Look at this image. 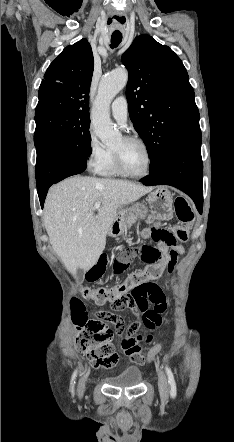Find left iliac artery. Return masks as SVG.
<instances>
[{"instance_id":"left-iliac-artery-1","label":"left iliac artery","mask_w":234,"mask_h":442,"mask_svg":"<svg viewBox=\"0 0 234 442\" xmlns=\"http://www.w3.org/2000/svg\"><path fill=\"white\" fill-rule=\"evenodd\" d=\"M165 369H166V373H167V377H168V383L170 386V395L172 398H175L177 391H176V383H175L173 373L168 366H166Z\"/></svg>"}]
</instances>
